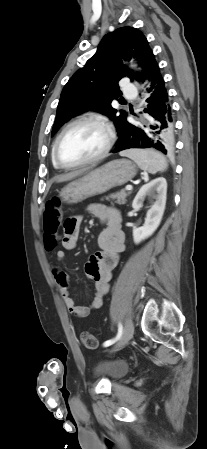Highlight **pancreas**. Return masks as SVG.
Here are the masks:
<instances>
[{"label": "pancreas", "instance_id": "1", "mask_svg": "<svg viewBox=\"0 0 207 449\" xmlns=\"http://www.w3.org/2000/svg\"><path fill=\"white\" fill-rule=\"evenodd\" d=\"M130 194V192H125V190H121L120 192L110 194L108 197H106V200H109L110 198L113 200H116L115 202L119 205L126 203V198Z\"/></svg>", "mask_w": 207, "mask_h": 449}]
</instances>
